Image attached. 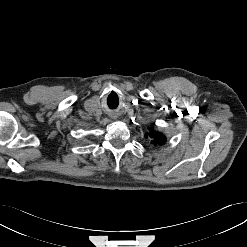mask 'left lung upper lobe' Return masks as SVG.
<instances>
[{
  "instance_id": "left-lung-upper-lobe-1",
  "label": "left lung upper lobe",
  "mask_w": 247,
  "mask_h": 247,
  "mask_svg": "<svg viewBox=\"0 0 247 247\" xmlns=\"http://www.w3.org/2000/svg\"><path fill=\"white\" fill-rule=\"evenodd\" d=\"M149 131V137L152 139V144L162 145L166 142V138L164 135L156 132L153 128H150Z\"/></svg>"
}]
</instances>
